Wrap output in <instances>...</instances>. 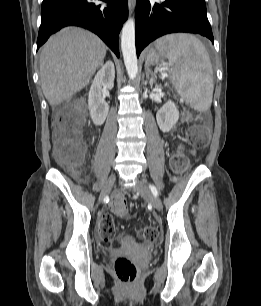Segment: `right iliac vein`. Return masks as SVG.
<instances>
[{
    "instance_id": "obj_1",
    "label": "right iliac vein",
    "mask_w": 261,
    "mask_h": 306,
    "mask_svg": "<svg viewBox=\"0 0 261 306\" xmlns=\"http://www.w3.org/2000/svg\"><path fill=\"white\" fill-rule=\"evenodd\" d=\"M115 180H116V176L114 174L108 178L107 182L105 183L101 191L100 198H99L100 201H102L109 194V192L111 191L113 187Z\"/></svg>"
}]
</instances>
